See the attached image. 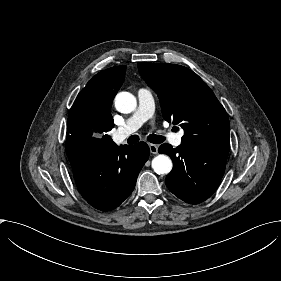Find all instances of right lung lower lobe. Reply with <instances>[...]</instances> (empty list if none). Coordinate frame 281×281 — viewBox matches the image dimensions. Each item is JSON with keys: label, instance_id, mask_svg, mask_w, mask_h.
I'll use <instances>...</instances> for the list:
<instances>
[{"label": "right lung lower lobe", "instance_id": "obj_1", "mask_svg": "<svg viewBox=\"0 0 281 281\" xmlns=\"http://www.w3.org/2000/svg\"><path fill=\"white\" fill-rule=\"evenodd\" d=\"M65 148L79 192L101 211L115 209L132 193L150 154L145 142L118 147L113 142L82 139L66 142Z\"/></svg>", "mask_w": 281, "mask_h": 281}]
</instances>
